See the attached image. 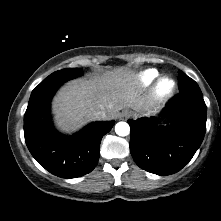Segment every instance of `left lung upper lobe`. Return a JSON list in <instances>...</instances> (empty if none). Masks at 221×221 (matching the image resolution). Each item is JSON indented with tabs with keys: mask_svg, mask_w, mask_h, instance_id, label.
Returning a JSON list of instances; mask_svg holds the SVG:
<instances>
[{
	"mask_svg": "<svg viewBox=\"0 0 221 221\" xmlns=\"http://www.w3.org/2000/svg\"><path fill=\"white\" fill-rule=\"evenodd\" d=\"M178 86H179V92H197L201 93V90L198 86V84L188 77L185 73L182 71L178 72Z\"/></svg>",
	"mask_w": 221,
	"mask_h": 221,
	"instance_id": "1",
	"label": "left lung upper lobe"
}]
</instances>
